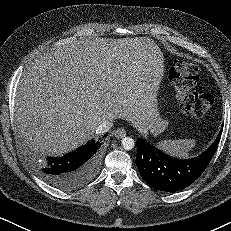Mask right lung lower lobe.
Segmentation results:
<instances>
[{
    "mask_svg": "<svg viewBox=\"0 0 231 231\" xmlns=\"http://www.w3.org/2000/svg\"><path fill=\"white\" fill-rule=\"evenodd\" d=\"M101 145V141L92 140L63 156L37 160L34 163L35 169L46 182L56 188L65 191L77 189L98 172Z\"/></svg>",
    "mask_w": 231,
    "mask_h": 231,
    "instance_id": "obj_1",
    "label": "right lung lower lobe"
}]
</instances>
